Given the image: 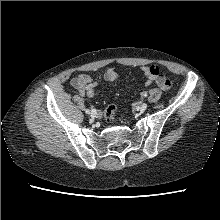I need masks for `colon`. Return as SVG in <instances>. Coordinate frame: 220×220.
<instances>
[{
  "instance_id": "obj_1",
  "label": "colon",
  "mask_w": 220,
  "mask_h": 220,
  "mask_svg": "<svg viewBox=\"0 0 220 220\" xmlns=\"http://www.w3.org/2000/svg\"><path fill=\"white\" fill-rule=\"evenodd\" d=\"M152 71L156 76V84L162 90H169L172 86L170 79L165 74H163L158 67L153 66ZM116 111H117V106L115 104L111 103L107 105L104 112L106 120L113 121L116 116Z\"/></svg>"
}]
</instances>
